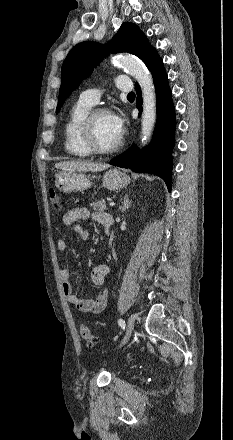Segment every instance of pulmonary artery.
Segmentation results:
<instances>
[{"label": "pulmonary artery", "instance_id": "obj_1", "mask_svg": "<svg viewBox=\"0 0 233 440\" xmlns=\"http://www.w3.org/2000/svg\"><path fill=\"white\" fill-rule=\"evenodd\" d=\"M116 85L119 90L123 92L132 91L133 87L131 82L129 81V77L126 75H120L116 79ZM101 92L97 88H91L81 93L79 100L88 105L97 104Z\"/></svg>", "mask_w": 233, "mask_h": 440}]
</instances>
